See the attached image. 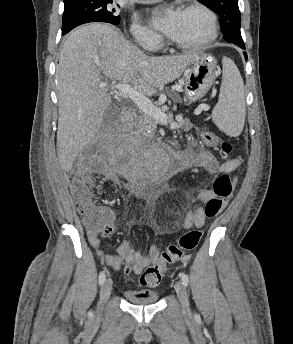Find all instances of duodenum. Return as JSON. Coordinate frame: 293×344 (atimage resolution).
<instances>
[{
    "label": "duodenum",
    "mask_w": 293,
    "mask_h": 344,
    "mask_svg": "<svg viewBox=\"0 0 293 344\" xmlns=\"http://www.w3.org/2000/svg\"><path fill=\"white\" fill-rule=\"evenodd\" d=\"M133 120L131 113H126L122 119L123 126L129 125ZM172 160L179 169L183 168L189 163L188 155L185 152H174Z\"/></svg>",
    "instance_id": "duodenum-1"
}]
</instances>
